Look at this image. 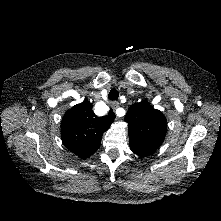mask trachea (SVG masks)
<instances>
[{
    "label": "trachea",
    "instance_id": "obj_1",
    "mask_svg": "<svg viewBox=\"0 0 221 221\" xmlns=\"http://www.w3.org/2000/svg\"><path fill=\"white\" fill-rule=\"evenodd\" d=\"M118 97H119V93H118V91H117L116 89H112V90L109 92V94H108V98H109V100H111V101L117 100Z\"/></svg>",
    "mask_w": 221,
    "mask_h": 221
}]
</instances>
